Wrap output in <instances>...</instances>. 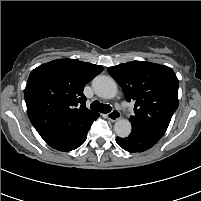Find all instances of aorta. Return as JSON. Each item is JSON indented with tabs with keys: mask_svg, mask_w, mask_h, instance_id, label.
<instances>
[{
	"mask_svg": "<svg viewBox=\"0 0 201 201\" xmlns=\"http://www.w3.org/2000/svg\"><path fill=\"white\" fill-rule=\"evenodd\" d=\"M95 94L103 99H112L117 95V83L106 75H99L92 81ZM131 123L127 119H119L114 124V131L120 138L128 137L131 133Z\"/></svg>",
	"mask_w": 201,
	"mask_h": 201,
	"instance_id": "762f6f07",
	"label": "aorta"
}]
</instances>
